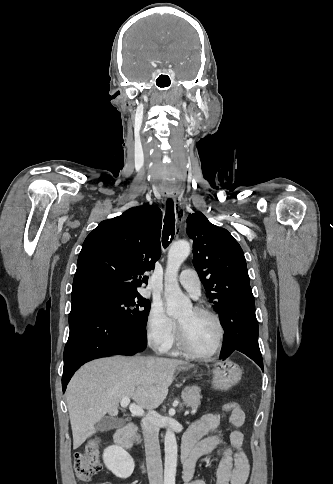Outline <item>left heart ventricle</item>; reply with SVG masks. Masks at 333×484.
I'll list each match as a JSON object with an SVG mask.
<instances>
[{"label":"left heart ventricle","instance_id":"left-heart-ventricle-1","mask_svg":"<svg viewBox=\"0 0 333 484\" xmlns=\"http://www.w3.org/2000/svg\"><path fill=\"white\" fill-rule=\"evenodd\" d=\"M177 321L182 325L191 346L201 353L210 352L218 338L215 321L204 314H197L192 308L183 312Z\"/></svg>","mask_w":333,"mask_h":484}]
</instances>
